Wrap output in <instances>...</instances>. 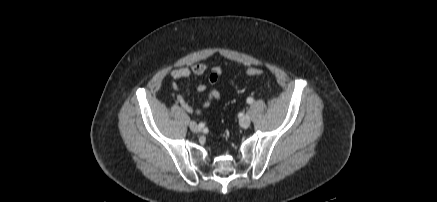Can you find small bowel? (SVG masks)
I'll use <instances>...</instances> for the list:
<instances>
[{
	"mask_svg": "<svg viewBox=\"0 0 437 202\" xmlns=\"http://www.w3.org/2000/svg\"><path fill=\"white\" fill-rule=\"evenodd\" d=\"M207 68L208 67L206 64L198 63L190 67H180V68L172 69L170 71V76L175 80L186 79L193 76H202L207 71ZM221 72H222L221 66L213 67L208 74L209 82L211 84H215L218 81ZM172 87L175 90L180 89V87L176 83H173ZM197 90L199 92H205L207 90V86L204 83H199L197 85ZM220 99H221V93L218 90H211L208 92L207 97L202 103V106L209 107L212 102L219 101ZM177 101L185 111L189 113H196V114L201 113V110L199 108H196L190 103H188L183 96L181 95L178 96Z\"/></svg>",
	"mask_w": 437,
	"mask_h": 202,
	"instance_id": "small-bowel-1",
	"label": "small bowel"
}]
</instances>
